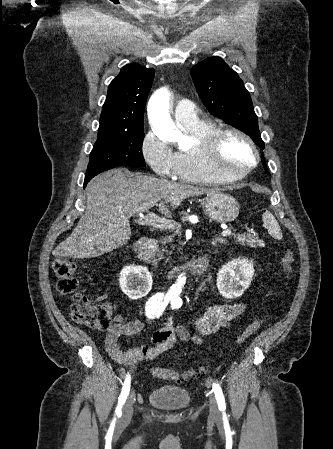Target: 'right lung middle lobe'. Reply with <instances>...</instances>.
Masks as SVG:
<instances>
[{
    "label": "right lung middle lobe",
    "instance_id": "right-lung-middle-lobe-1",
    "mask_svg": "<svg viewBox=\"0 0 333 449\" xmlns=\"http://www.w3.org/2000/svg\"><path fill=\"white\" fill-rule=\"evenodd\" d=\"M143 139V129L135 133L98 132L86 175L95 176L120 165L133 168L145 166L142 154Z\"/></svg>",
    "mask_w": 333,
    "mask_h": 449
}]
</instances>
